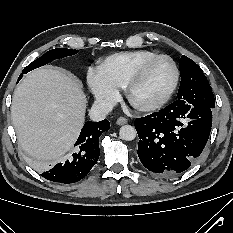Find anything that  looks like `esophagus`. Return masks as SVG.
Returning a JSON list of instances; mask_svg holds the SVG:
<instances>
[{
  "label": "esophagus",
  "instance_id": "obj_1",
  "mask_svg": "<svg viewBox=\"0 0 233 233\" xmlns=\"http://www.w3.org/2000/svg\"><path fill=\"white\" fill-rule=\"evenodd\" d=\"M128 122V120L126 119V118H124V117H119L118 119H117V121H116V123L118 124V125H124V124H126Z\"/></svg>",
  "mask_w": 233,
  "mask_h": 233
}]
</instances>
